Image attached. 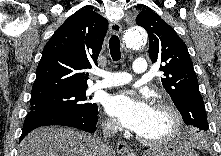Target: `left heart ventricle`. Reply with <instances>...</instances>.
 Returning a JSON list of instances; mask_svg holds the SVG:
<instances>
[{
  "instance_id": "left-heart-ventricle-1",
  "label": "left heart ventricle",
  "mask_w": 221,
  "mask_h": 156,
  "mask_svg": "<svg viewBox=\"0 0 221 156\" xmlns=\"http://www.w3.org/2000/svg\"><path fill=\"white\" fill-rule=\"evenodd\" d=\"M169 128L170 118L168 114L155 108L149 124L140 135L149 138L159 137L167 133Z\"/></svg>"
}]
</instances>
